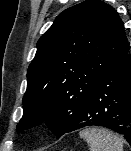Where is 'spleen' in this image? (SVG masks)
<instances>
[{
	"label": "spleen",
	"mask_w": 131,
	"mask_h": 151,
	"mask_svg": "<svg viewBox=\"0 0 131 151\" xmlns=\"http://www.w3.org/2000/svg\"><path fill=\"white\" fill-rule=\"evenodd\" d=\"M90 151H123V143L115 134L100 128H89L80 132Z\"/></svg>",
	"instance_id": "spleen-1"
}]
</instances>
